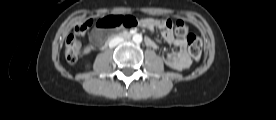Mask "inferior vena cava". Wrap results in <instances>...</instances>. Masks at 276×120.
<instances>
[{
  "instance_id": "1",
  "label": "inferior vena cava",
  "mask_w": 276,
  "mask_h": 120,
  "mask_svg": "<svg viewBox=\"0 0 276 120\" xmlns=\"http://www.w3.org/2000/svg\"><path fill=\"white\" fill-rule=\"evenodd\" d=\"M122 42H123V38H119V37L114 38L109 42V47L113 48Z\"/></svg>"
}]
</instances>
